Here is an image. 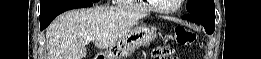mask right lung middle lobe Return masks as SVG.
Listing matches in <instances>:
<instances>
[{
	"label": "right lung middle lobe",
	"instance_id": "obj_1",
	"mask_svg": "<svg viewBox=\"0 0 261 59\" xmlns=\"http://www.w3.org/2000/svg\"><path fill=\"white\" fill-rule=\"evenodd\" d=\"M69 0H41L40 2V15L45 14L48 12L50 9L67 2ZM89 1H94L97 2L98 0H89Z\"/></svg>",
	"mask_w": 261,
	"mask_h": 59
}]
</instances>
